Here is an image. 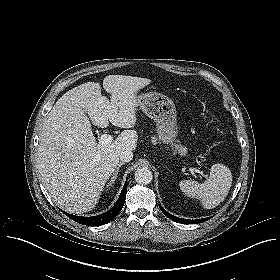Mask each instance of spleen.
Segmentation results:
<instances>
[{"label":"spleen","instance_id":"obj_1","mask_svg":"<svg viewBox=\"0 0 280 280\" xmlns=\"http://www.w3.org/2000/svg\"><path fill=\"white\" fill-rule=\"evenodd\" d=\"M232 184V173L224 164L216 163L211 167L209 178L204 183L182 180L179 187L187 196L201 200L203 206L211 209L224 201Z\"/></svg>","mask_w":280,"mask_h":280}]
</instances>
